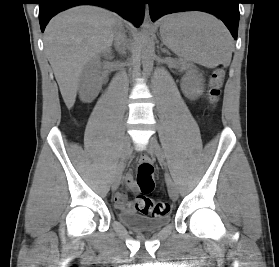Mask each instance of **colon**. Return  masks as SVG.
Listing matches in <instances>:
<instances>
[{
    "label": "colon",
    "mask_w": 279,
    "mask_h": 267,
    "mask_svg": "<svg viewBox=\"0 0 279 267\" xmlns=\"http://www.w3.org/2000/svg\"><path fill=\"white\" fill-rule=\"evenodd\" d=\"M224 78L225 69L223 65L217 66L210 75L207 100L211 107H214L219 100ZM153 172V165L149 161H143L139 165L136 182L141 194L137 196L134 208L141 214L156 217L166 215L170 210V204L163 201L155 202L147 196L155 187Z\"/></svg>",
    "instance_id": "obj_1"
}]
</instances>
